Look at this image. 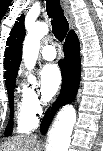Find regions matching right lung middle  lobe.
Returning <instances> with one entry per match:
<instances>
[{
    "label": "right lung middle lobe",
    "mask_w": 103,
    "mask_h": 151,
    "mask_svg": "<svg viewBox=\"0 0 103 151\" xmlns=\"http://www.w3.org/2000/svg\"><path fill=\"white\" fill-rule=\"evenodd\" d=\"M6 87L8 92V98L11 108V119H13V111H14V87H15V81H6ZM13 131V122L10 120V122L7 125V128L5 130V135L10 136Z\"/></svg>",
    "instance_id": "obj_1"
}]
</instances>
